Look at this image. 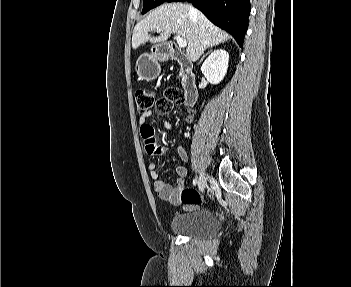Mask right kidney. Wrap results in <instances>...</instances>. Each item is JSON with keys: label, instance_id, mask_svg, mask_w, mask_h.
I'll use <instances>...</instances> for the list:
<instances>
[{"label": "right kidney", "instance_id": "1", "mask_svg": "<svg viewBox=\"0 0 351 287\" xmlns=\"http://www.w3.org/2000/svg\"><path fill=\"white\" fill-rule=\"evenodd\" d=\"M229 54L223 49L215 50L204 61L201 71L211 84L220 83L226 75Z\"/></svg>", "mask_w": 351, "mask_h": 287}]
</instances>
